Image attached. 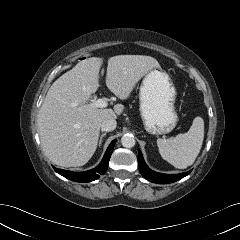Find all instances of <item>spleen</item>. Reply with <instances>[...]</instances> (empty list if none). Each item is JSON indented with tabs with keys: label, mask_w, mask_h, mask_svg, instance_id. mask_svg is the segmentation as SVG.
<instances>
[{
	"label": "spleen",
	"mask_w": 240,
	"mask_h": 240,
	"mask_svg": "<svg viewBox=\"0 0 240 240\" xmlns=\"http://www.w3.org/2000/svg\"><path fill=\"white\" fill-rule=\"evenodd\" d=\"M204 139V120L196 117L188 132L174 138L157 139L159 153L164 160L178 169L192 165Z\"/></svg>",
	"instance_id": "1"
}]
</instances>
